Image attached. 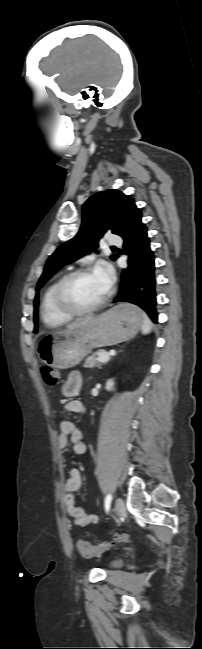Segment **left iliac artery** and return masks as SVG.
Here are the masks:
<instances>
[{
	"mask_svg": "<svg viewBox=\"0 0 202 649\" xmlns=\"http://www.w3.org/2000/svg\"><path fill=\"white\" fill-rule=\"evenodd\" d=\"M111 500H112V496L108 494L105 498V510L107 512L109 511Z\"/></svg>",
	"mask_w": 202,
	"mask_h": 649,
	"instance_id": "1",
	"label": "left iliac artery"
}]
</instances>
